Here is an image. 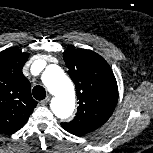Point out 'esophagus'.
<instances>
[{"label":"esophagus","instance_id":"obj_1","mask_svg":"<svg viewBox=\"0 0 153 153\" xmlns=\"http://www.w3.org/2000/svg\"><path fill=\"white\" fill-rule=\"evenodd\" d=\"M50 101V96H47L44 100L40 102L41 105H46Z\"/></svg>","mask_w":153,"mask_h":153}]
</instances>
